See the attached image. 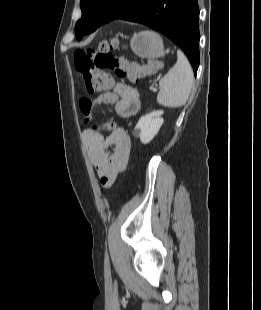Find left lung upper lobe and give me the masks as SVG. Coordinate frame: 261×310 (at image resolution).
<instances>
[{"instance_id": "5c2ea615", "label": "left lung upper lobe", "mask_w": 261, "mask_h": 310, "mask_svg": "<svg viewBox=\"0 0 261 310\" xmlns=\"http://www.w3.org/2000/svg\"><path fill=\"white\" fill-rule=\"evenodd\" d=\"M131 0H80L82 17L75 26L76 37L84 36L93 23L105 24L123 14Z\"/></svg>"}]
</instances>
